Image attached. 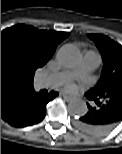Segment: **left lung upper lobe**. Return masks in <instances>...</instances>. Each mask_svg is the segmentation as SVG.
Returning <instances> with one entry per match:
<instances>
[{"label":"left lung upper lobe","mask_w":122,"mask_h":154,"mask_svg":"<svg viewBox=\"0 0 122 154\" xmlns=\"http://www.w3.org/2000/svg\"><path fill=\"white\" fill-rule=\"evenodd\" d=\"M87 36L95 42L102 55L103 69L97 84L86 94L105 98L122 89V46L105 35Z\"/></svg>","instance_id":"5c2ea615"}]
</instances>
